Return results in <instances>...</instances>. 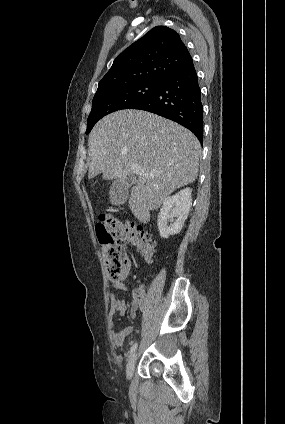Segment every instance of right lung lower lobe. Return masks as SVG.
I'll return each instance as SVG.
<instances>
[{"label":"right lung lower lobe","mask_w":285,"mask_h":424,"mask_svg":"<svg viewBox=\"0 0 285 424\" xmlns=\"http://www.w3.org/2000/svg\"><path fill=\"white\" fill-rule=\"evenodd\" d=\"M131 109L146 110L175 121L203 143V106L193 62L166 79L153 95L134 104Z\"/></svg>","instance_id":"98d812e1"}]
</instances>
